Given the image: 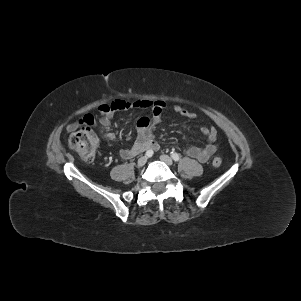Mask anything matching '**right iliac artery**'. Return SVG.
Masks as SVG:
<instances>
[{
  "label": "right iliac artery",
  "mask_w": 301,
  "mask_h": 301,
  "mask_svg": "<svg viewBox=\"0 0 301 301\" xmlns=\"http://www.w3.org/2000/svg\"><path fill=\"white\" fill-rule=\"evenodd\" d=\"M146 157H152L153 155V151L152 150H148L146 153H145Z\"/></svg>",
  "instance_id": "obj_1"
}]
</instances>
